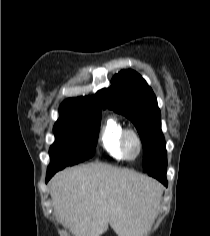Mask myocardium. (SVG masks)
<instances>
[{
  "mask_svg": "<svg viewBox=\"0 0 210 236\" xmlns=\"http://www.w3.org/2000/svg\"><path fill=\"white\" fill-rule=\"evenodd\" d=\"M129 138H134L137 143V153L134 157H130L127 153L126 144H127V140ZM120 148H121V152H122L124 159H126L128 161H133L141 155L142 148H143L142 139L135 129L125 128L123 130V132L121 134V138H120Z\"/></svg>",
  "mask_w": 210,
  "mask_h": 236,
  "instance_id": "obj_1",
  "label": "myocardium"
}]
</instances>
